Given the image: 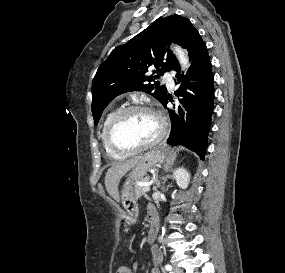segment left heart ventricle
<instances>
[{"label": "left heart ventricle", "mask_w": 285, "mask_h": 273, "mask_svg": "<svg viewBox=\"0 0 285 273\" xmlns=\"http://www.w3.org/2000/svg\"><path fill=\"white\" fill-rule=\"evenodd\" d=\"M159 132L156 119L143 111L125 115L115 130V140L124 147H134L153 140Z\"/></svg>", "instance_id": "1"}]
</instances>
